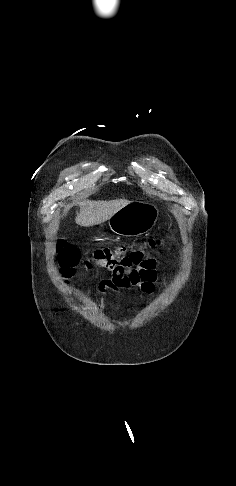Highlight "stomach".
Returning <instances> with one entry per match:
<instances>
[{
	"mask_svg": "<svg viewBox=\"0 0 236 486\" xmlns=\"http://www.w3.org/2000/svg\"><path fill=\"white\" fill-rule=\"evenodd\" d=\"M159 209L150 202H131L110 217L108 224L115 234L134 237L147 233L156 224Z\"/></svg>",
	"mask_w": 236,
	"mask_h": 486,
	"instance_id": "stomach-1",
	"label": "stomach"
}]
</instances>
